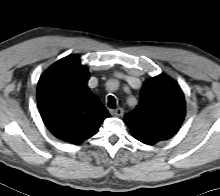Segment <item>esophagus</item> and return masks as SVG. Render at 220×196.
<instances>
[{
  "mask_svg": "<svg viewBox=\"0 0 220 196\" xmlns=\"http://www.w3.org/2000/svg\"><path fill=\"white\" fill-rule=\"evenodd\" d=\"M110 113L113 116L121 117V116H123L124 111L122 108L119 107V108L110 110Z\"/></svg>",
  "mask_w": 220,
  "mask_h": 196,
  "instance_id": "34e87169",
  "label": "esophagus"
}]
</instances>
